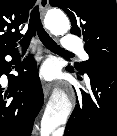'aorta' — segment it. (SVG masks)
I'll return each mask as SVG.
<instances>
[{"label": "aorta", "instance_id": "1", "mask_svg": "<svg viewBox=\"0 0 117 136\" xmlns=\"http://www.w3.org/2000/svg\"><path fill=\"white\" fill-rule=\"evenodd\" d=\"M46 26L54 35H64L70 29V22L64 13L52 10L46 16ZM72 111V103L63 90H55L46 106L41 120V136L51 134L63 125Z\"/></svg>", "mask_w": 117, "mask_h": 136}]
</instances>
